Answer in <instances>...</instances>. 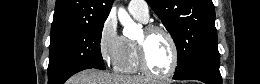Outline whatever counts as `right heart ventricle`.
Masks as SVG:
<instances>
[{"instance_id": "right-heart-ventricle-1", "label": "right heart ventricle", "mask_w": 260, "mask_h": 84, "mask_svg": "<svg viewBox=\"0 0 260 84\" xmlns=\"http://www.w3.org/2000/svg\"><path fill=\"white\" fill-rule=\"evenodd\" d=\"M135 18L140 20L137 17ZM114 68L115 71L123 74H136L141 72L137 57L136 41L122 37L121 54Z\"/></svg>"}]
</instances>
